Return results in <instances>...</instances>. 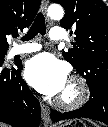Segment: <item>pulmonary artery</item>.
<instances>
[{
  "mask_svg": "<svg viewBox=\"0 0 108 127\" xmlns=\"http://www.w3.org/2000/svg\"><path fill=\"white\" fill-rule=\"evenodd\" d=\"M50 38L52 40H62L64 38L63 30L58 27L52 28L50 31ZM41 48H42L41 45L38 43H28L24 45L15 46L14 48H12L10 54L12 56L23 55L39 51Z\"/></svg>",
  "mask_w": 108,
  "mask_h": 127,
  "instance_id": "obj_1",
  "label": "pulmonary artery"
}]
</instances>
